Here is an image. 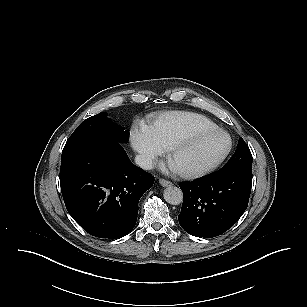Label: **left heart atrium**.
<instances>
[{
	"mask_svg": "<svg viewBox=\"0 0 307 307\" xmlns=\"http://www.w3.org/2000/svg\"><path fill=\"white\" fill-rule=\"evenodd\" d=\"M171 165V164H170ZM171 167L173 168V166L171 165ZM173 170L175 171V169L173 168Z\"/></svg>",
	"mask_w": 307,
	"mask_h": 307,
	"instance_id": "1",
	"label": "left heart atrium"
}]
</instances>
